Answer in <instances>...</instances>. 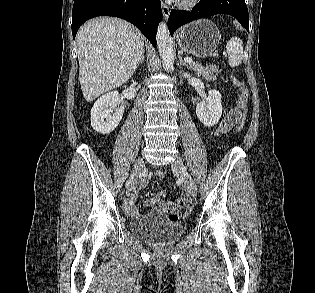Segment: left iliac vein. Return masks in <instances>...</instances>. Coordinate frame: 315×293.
Here are the masks:
<instances>
[{
	"label": "left iliac vein",
	"mask_w": 315,
	"mask_h": 293,
	"mask_svg": "<svg viewBox=\"0 0 315 293\" xmlns=\"http://www.w3.org/2000/svg\"><path fill=\"white\" fill-rule=\"evenodd\" d=\"M172 170L178 174L184 182L186 191L188 195L195 197L197 194V189L194 180L186 170L180 157H176L173 163L171 164Z\"/></svg>",
	"instance_id": "obj_1"
}]
</instances>
